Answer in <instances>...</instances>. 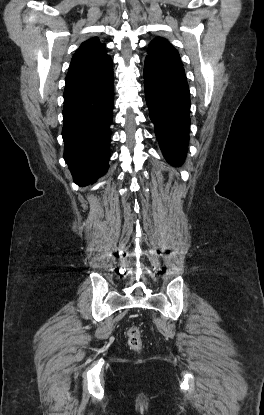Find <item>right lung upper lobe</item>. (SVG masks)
<instances>
[{
  "label": "right lung upper lobe",
  "mask_w": 264,
  "mask_h": 415,
  "mask_svg": "<svg viewBox=\"0 0 264 415\" xmlns=\"http://www.w3.org/2000/svg\"><path fill=\"white\" fill-rule=\"evenodd\" d=\"M112 59L97 37L83 42L72 57L66 84L102 77L112 71Z\"/></svg>",
  "instance_id": "1"
}]
</instances>
